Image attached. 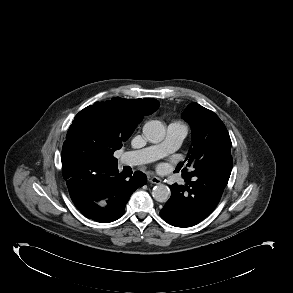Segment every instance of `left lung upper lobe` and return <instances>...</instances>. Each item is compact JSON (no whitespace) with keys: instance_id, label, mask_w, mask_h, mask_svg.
Instances as JSON below:
<instances>
[{"instance_id":"5c2ea615","label":"left lung upper lobe","mask_w":293,"mask_h":293,"mask_svg":"<svg viewBox=\"0 0 293 293\" xmlns=\"http://www.w3.org/2000/svg\"><path fill=\"white\" fill-rule=\"evenodd\" d=\"M182 117L192 127L193 145L186 158L189 168H183L184 163H179L178 170L183 168L184 175L212 173L228 180L232 170V143L224 123L198 103L189 104Z\"/></svg>"}]
</instances>
